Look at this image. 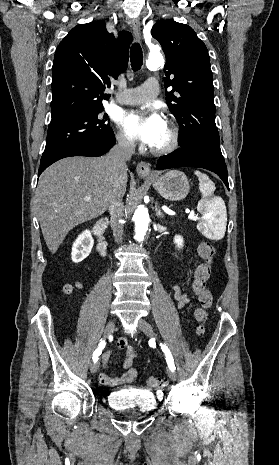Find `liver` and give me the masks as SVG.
Segmentation results:
<instances>
[{
  "label": "liver",
  "instance_id": "liver-1",
  "mask_svg": "<svg viewBox=\"0 0 279 465\" xmlns=\"http://www.w3.org/2000/svg\"><path fill=\"white\" fill-rule=\"evenodd\" d=\"M120 187L125 193L127 170L121 175ZM111 192L105 157H67L49 166L40 176L35 203L50 252L56 253L75 226L102 215L110 206Z\"/></svg>",
  "mask_w": 279,
  "mask_h": 465
}]
</instances>
